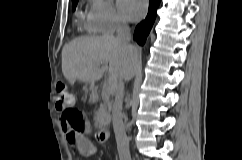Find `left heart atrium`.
Segmentation results:
<instances>
[{
  "instance_id": "39dd6f15",
  "label": "left heart atrium",
  "mask_w": 242,
  "mask_h": 160,
  "mask_svg": "<svg viewBox=\"0 0 242 160\" xmlns=\"http://www.w3.org/2000/svg\"><path fill=\"white\" fill-rule=\"evenodd\" d=\"M118 8L125 19L136 21L144 16L147 0H118Z\"/></svg>"
}]
</instances>
